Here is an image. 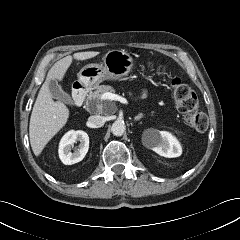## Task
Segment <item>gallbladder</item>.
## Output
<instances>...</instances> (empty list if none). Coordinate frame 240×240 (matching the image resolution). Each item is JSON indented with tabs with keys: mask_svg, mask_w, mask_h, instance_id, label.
<instances>
[{
	"mask_svg": "<svg viewBox=\"0 0 240 240\" xmlns=\"http://www.w3.org/2000/svg\"><path fill=\"white\" fill-rule=\"evenodd\" d=\"M48 87L49 92L54 99H57L67 105H74V101L71 96L61 88L57 80H50Z\"/></svg>",
	"mask_w": 240,
	"mask_h": 240,
	"instance_id": "obj_1",
	"label": "gallbladder"
}]
</instances>
